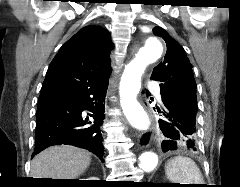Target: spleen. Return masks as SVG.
<instances>
[{"mask_svg": "<svg viewBox=\"0 0 240 187\" xmlns=\"http://www.w3.org/2000/svg\"><path fill=\"white\" fill-rule=\"evenodd\" d=\"M167 178L173 183L203 184L204 180L195 162L183 156L171 159L165 169Z\"/></svg>", "mask_w": 240, "mask_h": 187, "instance_id": "obj_1", "label": "spleen"}]
</instances>
